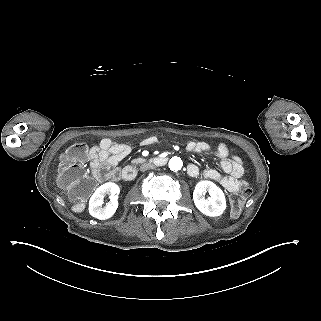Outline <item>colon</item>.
Wrapping results in <instances>:
<instances>
[{
	"label": "colon",
	"instance_id": "colon-1",
	"mask_svg": "<svg viewBox=\"0 0 321 321\" xmlns=\"http://www.w3.org/2000/svg\"><path fill=\"white\" fill-rule=\"evenodd\" d=\"M89 152V147L85 143H75L66 150L60 162L58 180L68 189L76 210L83 209L86 199L94 188V183L84 168ZM250 193V188L243 186L231 197L232 216L237 217L241 214Z\"/></svg>",
	"mask_w": 321,
	"mask_h": 321
}]
</instances>
